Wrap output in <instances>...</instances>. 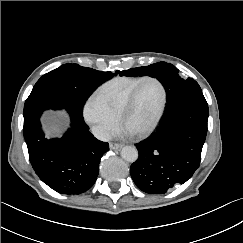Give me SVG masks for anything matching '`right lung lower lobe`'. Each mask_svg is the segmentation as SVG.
<instances>
[{"label":"right lung lower lobe","instance_id":"98d812e1","mask_svg":"<svg viewBox=\"0 0 243 243\" xmlns=\"http://www.w3.org/2000/svg\"><path fill=\"white\" fill-rule=\"evenodd\" d=\"M65 109L71 128L60 139H46L40 117L45 110ZM83 109L57 94L31 93L24 104V137L38 177L61 194H80L95 183L109 144L97 140L85 124Z\"/></svg>","mask_w":243,"mask_h":243}]
</instances>
